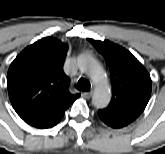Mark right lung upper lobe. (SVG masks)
Wrapping results in <instances>:
<instances>
[{
    "label": "right lung upper lobe",
    "instance_id": "1",
    "mask_svg": "<svg viewBox=\"0 0 165 154\" xmlns=\"http://www.w3.org/2000/svg\"><path fill=\"white\" fill-rule=\"evenodd\" d=\"M66 44L53 37L26 47L11 63L7 88L11 104L22 118L36 115L65 98H78L69 91L70 79L63 71Z\"/></svg>",
    "mask_w": 165,
    "mask_h": 154
}]
</instances>
